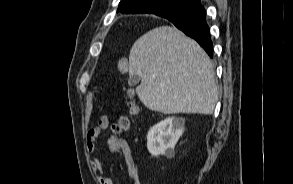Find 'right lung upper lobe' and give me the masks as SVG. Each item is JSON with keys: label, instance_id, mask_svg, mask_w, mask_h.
Wrapping results in <instances>:
<instances>
[{"label": "right lung upper lobe", "instance_id": "right-lung-upper-lobe-1", "mask_svg": "<svg viewBox=\"0 0 293 184\" xmlns=\"http://www.w3.org/2000/svg\"><path fill=\"white\" fill-rule=\"evenodd\" d=\"M200 0H121L119 11L126 14H155L160 17L171 15L177 9L193 4Z\"/></svg>", "mask_w": 293, "mask_h": 184}]
</instances>
